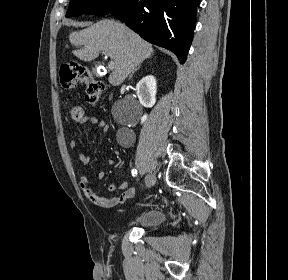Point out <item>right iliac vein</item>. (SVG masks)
<instances>
[{
  "instance_id": "1",
  "label": "right iliac vein",
  "mask_w": 288,
  "mask_h": 280,
  "mask_svg": "<svg viewBox=\"0 0 288 280\" xmlns=\"http://www.w3.org/2000/svg\"><path fill=\"white\" fill-rule=\"evenodd\" d=\"M155 181H156L155 175L153 173H149L146 176V187L147 188L152 187L154 185Z\"/></svg>"
}]
</instances>
